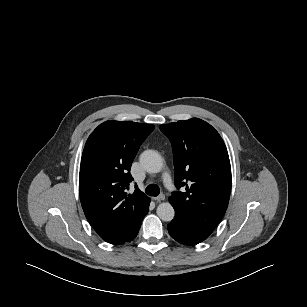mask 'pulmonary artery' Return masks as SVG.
Segmentation results:
<instances>
[{"label":"pulmonary artery","mask_w":307,"mask_h":307,"mask_svg":"<svg viewBox=\"0 0 307 307\" xmlns=\"http://www.w3.org/2000/svg\"><path fill=\"white\" fill-rule=\"evenodd\" d=\"M163 182L165 184V186L168 188V189H172L173 188V182H172V179L170 177V175L168 173H166L164 176H163Z\"/></svg>","instance_id":"obj_1"}]
</instances>
